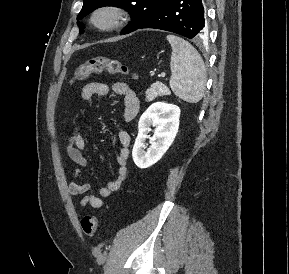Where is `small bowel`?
Returning <instances> with one entry per match:
<instances>
[{"instance_id":"obj_1","label":"small bowel","mask_w":289,"mask_h":274,"mask_svg":"<svg viewBox=\"0 0 289 274\" xmlns=\"http://www.w3.org/2000/svg\"><path fill=\"white\" fill-rule=\"evenodd\" d=\"M111 92L120 96L124 104V120L132 121L138 114L140 102L136 93L124 82H115L108 85L101 82H91L86 84L81 91L83 101H89L95 95L106 97ZM118 142L120 145L116 155L117 172L113 180L107 181L97 191V194L90 193V184L81 181L82 170L87 166V159L84 155L87 144L78 126L74 125L66 145V153L71 161L76 164L74 170V181L69 184L68 192L71 196H82L79 205L82 208L92 207L102 208L104 199L117 192L127 177V162L129 158L130 135L127 131L121 130L118 133Z\"/></svg>"}]
</instances>
